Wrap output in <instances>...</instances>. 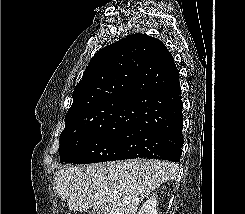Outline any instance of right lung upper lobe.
<instances>
[{
  "instance_id": "right-lung-upper-lobe-1",
  "label": "right lung upper lobe",
  "mask_w": 245,
  "mask_h": 214,
  "mask_svg": "<svg viewBox=\"0 0 245 214\" xmlns=\"http://www.w3.org/2000/svg\"><path fill=\"white\" fill-rule=\"evenodd\" d=\"M171 59L160 40L139 33L100 49L74 89L65 126L131 122L141 111L142 98L161 92Z\"/></svg>"
}]
</instances>
